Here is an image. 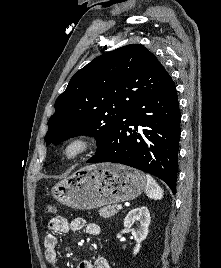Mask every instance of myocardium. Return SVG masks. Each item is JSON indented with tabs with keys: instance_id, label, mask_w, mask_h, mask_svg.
I'll use <instances>...</instances> for the list:
<instances>
[{
	"instance_id": "obj_1",
	"label": "myocardium",
	"mask_w": 221,
	"mask_h": 268,
	"mask_svg": "<svg viewBox=\"0 0 221 268\" xmlns=\"http://www.w3.org/2000/svg\"><path fill=\"white\" fill-rule=\"evenodd\" d=\"M98 146L97 138L88 133H79L68 138L61 147V157L66 162H76Z\"/></svg>"
}]
</instances>
